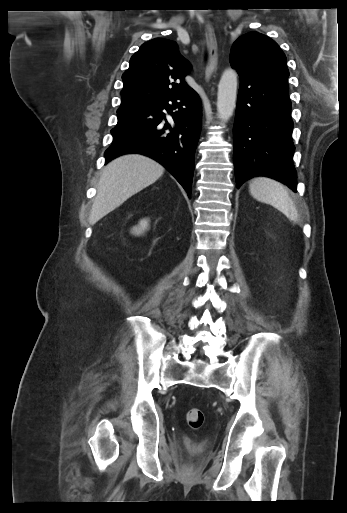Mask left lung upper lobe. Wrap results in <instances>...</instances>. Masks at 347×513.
Listing matches in <instances>:
<instances>
[{
    "instance_id": "1",
    "label": "left lung upper lobe",
    "mask_w": 347,
    "mask_h": 513,
    "mask_svg": "<svg viewBox=\"0 0 347 513\" xmlns=\"http://www.w3.org/2000/svg\"><path fill=\"white\" fill-rule=\"evenodd\" d=\"M230 64L239 74L248 77L287 78L286 56L269 37L249 32L233 44Z\"/></svg>"
}]
</instances>
